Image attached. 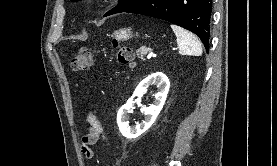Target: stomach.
Listing matches in <instances>:
<instances>
[{
    "mask_svg": "<svg viewBox=\"0 0 277 166\" xmlns=\"http://www.w3.org/2000/svg\"><path fill=\"white\" fill-rule=\"evenodd\" d=\"M114 37L119 41H128L133 37V33L128 28H122L114 32Z\"/></svg>",
    "mask_w": 277,
    "mask_h": 166,
    "instance_id": "1",
    "label": "stomach"
}]
</instances>
